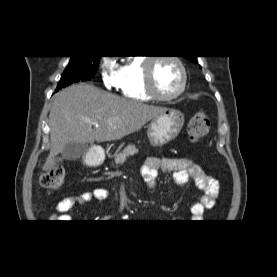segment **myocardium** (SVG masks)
<instances>
[{
    "mask_svg": "<svg viewBox=\"0 0 277 277\" xmlns=\"http://www.w3.org/2000/svg\"><path fill=\"white\" fill-rule=\"evenodd\" d=\"M159 59H169L177 64L181 73V85L177 92L172 95L164 96L161 95L155 87L154 75H153V64ZM188 75L187 70L182 60L175 55H166L164 57H151L145 60L144 63V88L145 91L153 98L159 101H171L178 98L184 93L187 87Z\"/></svg>",
    "mask_w": 277,
    "mask_h": 277,
    "instance_id": "myocardium-1",
    "label": "myocardium"
}]
</instances>
